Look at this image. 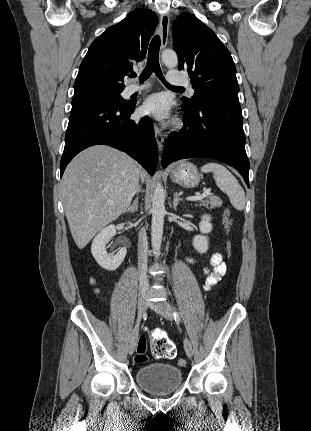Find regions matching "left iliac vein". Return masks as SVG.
<instances>
[{"instance_id": "obj_1", "label": "left iliac vein", "mask_w": 311, "mask_h": 431, "mask_svg": "<svg viewBox=\"0 0 311 431\" xmlns=\"http://www.w3.org/2000/svg\"><path fill=\"white\" fill-rule=\"evenodd\" d=\"M149 307L155 312L162 315L167 320H173V311L171 306L166 301L161 302H149ZM184 349L189 358L193 356V348L188 338L184 339Z\"/></svg>"}]
</instances>
